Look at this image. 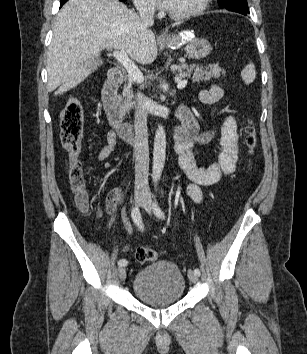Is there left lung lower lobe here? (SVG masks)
Masks as SVG:
<instances>
[{
    "instance_id": "left-lung-lower-lobe-1",
    "label": "left lung lower lobe",
    "mask_w": 307,
    "mask_h": 354,
    "mask_svg": "<svg viewBox=\"0 0 307 354\" xmlns=\"http://www.w3.org/2000/svg\"><path fill=\"white\" fill-rule=\"evenodd\" d=\"M238 13H241V12H238ZM241 14H244L245 16H247L249 13H241Z\"/></svg>"
}]
</instances>
